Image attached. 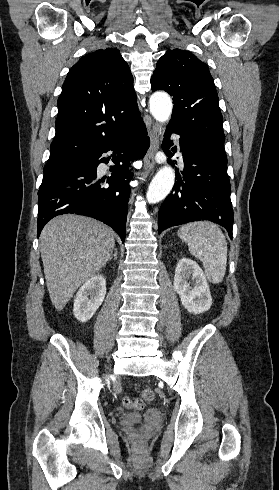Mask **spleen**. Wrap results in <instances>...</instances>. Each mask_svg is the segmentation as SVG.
I'll return each instance as SVG.
<instances>
[{"label": "spleen", "instance_id": "1", "mask_svg": "<svg viewBox=\"0 0 279 490\" xmlns=\"http://www.w3.org/2000/svg\"><path fill=\"white\" fill-rule=\"evenodd\" d=\"M178 236L187 242L189 252L203 262L207 280L222 282L227 264V244L219 226L211 222H191L178 230Z\"/></svg>", "mask_w": 279, "mask_h": 490}]
</instances>
